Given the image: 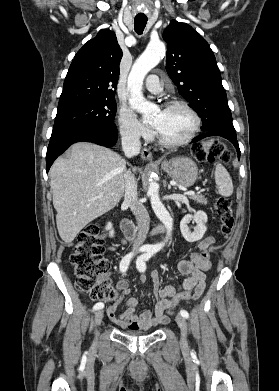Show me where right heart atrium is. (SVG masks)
Wrapping results in <instances>:
<instances>
[{"instance_id": "right-heart-atrium-1", "label": "right heart atrium", "mask_w": 279, "mask_h": 391, "mask_svg": "<svg viewBox=\"0 0 279 391\" xmlns=\"http://www.w3.org/2000/svg\"><path fill=\"white\" fill-rule=\"evenodd\" d=\"M118 123L120 133L124 139L129 141H140L151 136L152 132L149 126L139 121L135 115L127 110L122 109L119 112Z\"/></svg>"}]
</instances>
